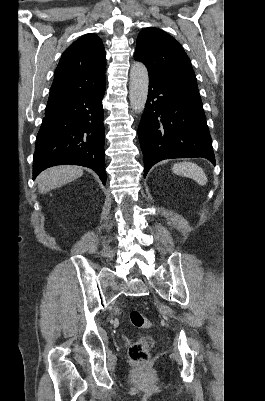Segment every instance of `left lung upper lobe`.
Wrapping results in <instances>:
<instances>
[{
	"label": "left lung upper lobe",
	"instance_id": "obj_1",
	"mask_svg": "<svg viewBox=\"0 0 265 401\" xmlns=\"http://www.w3.org/2000/svg\"><path fill=\"white\" fill-rule=\"evenodd\" d=\"M134 58L145 64L150 77L197 85L190 59L182 46L158 28H145L139 33Z\"/></svg>",
	"mask_w": 265,
	"mask_h": 401
}]
</instances>
